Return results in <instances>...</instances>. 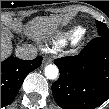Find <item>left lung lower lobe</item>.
Listing matches in <instances>:
<instances>
[{
  "label": "left lung lower lobe",
  "instance_id": "obj_1",
  "mask_svg": "<svg viewBox=\"0 0 109 109\" xmlns=\"http://www.w3.org/2000/svg\"><path fill=\"white\" fill-rule=\"evenodd\" d=\"M59 79L52 85L63 109H93L109 98V37L91 40L76 56L55 60Z\"/></svg>",
  "mask_w": 109,
  "mask_h": 109
}]
</instances>
